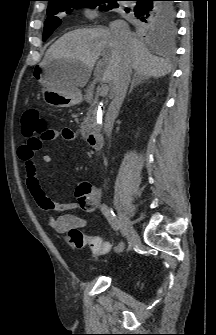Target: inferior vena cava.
Wrapping results in <instances>:
<instances>
[{"instance_id": "inferior-vena-cava-1", "label": "inferior vena cava", "mask_w": 216, "mask_h": 335, "mask_svg": "<svg viewBox=\"0 0 216 335\" xmlns=\"http://www.w3.org/2000/svg\"><path fill=\"white\" fill-rule=\"evenodd\" d=\"M110 31L115 39L120 42H127L131 35L129 26L122 20H116L110 23ZM132 69L128 60L125 61L122 70L114 81L113 88V99L108 107V111L105 118V132L110 137L113 129V124L118 116L120 107L124 101L127 88L130 82Z\"/></svg>"}]
</instances>
